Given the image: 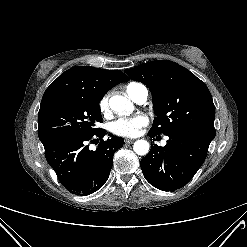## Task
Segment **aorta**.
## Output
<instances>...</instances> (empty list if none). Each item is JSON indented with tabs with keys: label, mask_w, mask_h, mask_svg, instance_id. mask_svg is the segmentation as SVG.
Returning <instances> with one entry per match:
<instances>
[{
	"label": "aorta",
	"mask_w": 247,
	"mask_h": 247,
	"mask_svg": "<svg viewBox=\"0 0 247 247\" xmlns=\"http://www.w3.org/2000/svg\"><path fill=\"white\" fill-rule=\"evenodd\" d=\"M111 110L120 114L133 110L131 101L121 95H114L109 100ZM150 145L146 140H137L133 145V150L137 155H146L149 152Z\"/></svg>",
	"instance_id": "1"
}]
</instances>
